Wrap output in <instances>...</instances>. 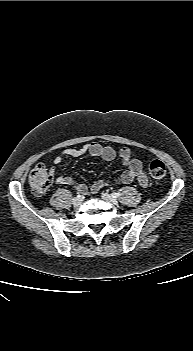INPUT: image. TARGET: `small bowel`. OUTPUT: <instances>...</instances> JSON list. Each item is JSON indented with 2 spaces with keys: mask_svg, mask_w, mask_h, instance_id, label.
<instances>
[{
  "mask_svg": "<svg viewBox=\"0 0 193 351\" xmlns=\"http://www.w3.org/2000/svg\"><path fill=\"white\" fill-rule=\"evenodd\" d=\"M90 155L100 158L103 161H113L119 156L121 163L126 167L123 173L115 180V183L129 184L137 180L141 186H146L148 183L147 177L143 172L142 163L137 158H133L129 148H121L118 152L110 147L103 146L99 143H87L79 148H67L62 150L55 158L54 164L59 165L66 157H81L83 155ZM57 185H66L73 187L77 192L82 194L97 193L108 185L105 179L95 181L91 186L83 183H77L74 179L65 175H58L54 178Z\"/></svg>",
  "mask_w": 193,
  "mask_h": 351,
  "instance_id": "small-bowel-1",
  "label": "small bowel"
}]
</instances>
